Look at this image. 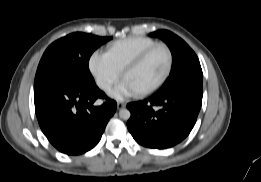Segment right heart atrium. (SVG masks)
I'll list each match as a JSON object with an SVG mask.
<instances>
[{"label": "right heart atrium", "instance_id": "1", "mask_svg": "<svg viewBox=\"0 0 261 182\" xmlns=\"http://www.w3.org/2000/svg\"><path fill=\"white\" fill-rule=\"evenodd\" d=\"M88 68L96 85L103 91H109L121 77V72L105 53H92L88 61Z\"/></svg>", "mask_w": 261, "mask_h": 182}]
</instances>
